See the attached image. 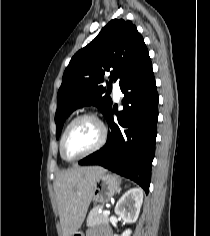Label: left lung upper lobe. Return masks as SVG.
I'll list each match as a JSON object with an SVG mask.
<instances>
[{"label":"left lung upper lobe","mask_w":210,"mask_h":236,"mask_svg":"<svg viewBox=\"0 0 210 236\" xmlns=\"http://www.w3.org/2000/svg\"><path fill=\"white\" fill-rule=\"evenodd\" d=\"M149 60L136 26L129 20H111L90 44L72 57L65 69L57 95L56 138L66 118L81 106L93 104L108 116L112 100L103 86L106 72L111 71L108 87L117 80L121 87Z\"/></svg>","instance_id":"left-lung-upper-lobe-1"}]
</instances>
